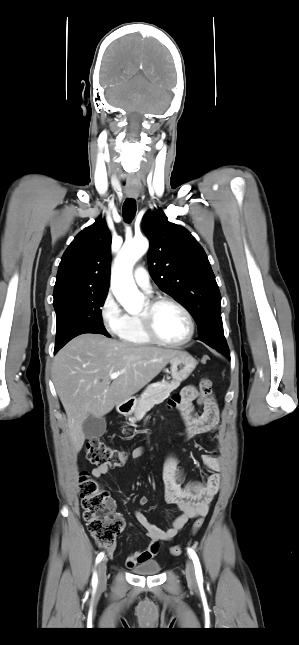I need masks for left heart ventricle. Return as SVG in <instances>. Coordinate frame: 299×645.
<instances>
[{"label":"left heart ventricle","mask_w":299,"mask_h":645,"mask_svg":"<svg viewBox=\"0 0 299 645\" xmlns=\"http://www.w3.org/2000/svg\"><path fill=\"white\" fill-rule=\"evenodd\" d=\"M144 308L145 305L141 312ZM153 320L157 334L166 340H181L187 335L189 330L185 315L177 307L170 304H162L157 307Z\"/></svg>","instance_id":"1"}]
</instances>
